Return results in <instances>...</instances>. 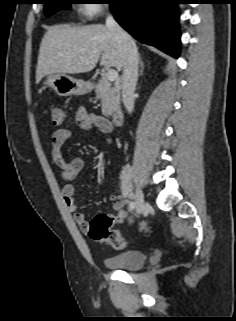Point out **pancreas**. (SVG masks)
Returning <instances> with one entry per match:
<instances>
[{
	"instance_id": "1",
	"label": "pancreas",
	"mask_w": 236,
	"mask_h": 321,
	"mask_svg": "<svg viewBox=\"0 0 236 321\" xmlns=\"http://www.w3.org/2000/svg\"><path fill=\"white\" fill-rule=\"evenodd\" d=\"M96 97L101 100L102 113L105 116L111 115L120 107V91L106 78H102L95 90Z\"/></svg>"
}]
</instances>
